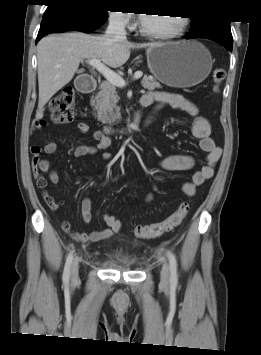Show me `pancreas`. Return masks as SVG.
I'll return each instance as SVG.
<instances>
[{
	"label": "pancreas",
	"instance_id": "obj_1",
	"mask_svg": "<svg viewBox=\"0 0 261 355\" xmlns=\"http://www.w3.org/2000/svg\"><path fill=\"white\" fill-rule=\"evenodd\" d=\"M142 86L148 90L161 88L159 82L146 75L142 79ZM119 96L116 86L108 81H104L100 85V91L95 98L91 99V105L95 107L97 119L103 124L113 125L121 119L120 108L117 106Z\"/></svg>",
	"mask_w": 261,
	"mask_h": 355
}]
</instances>
